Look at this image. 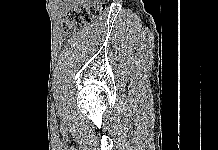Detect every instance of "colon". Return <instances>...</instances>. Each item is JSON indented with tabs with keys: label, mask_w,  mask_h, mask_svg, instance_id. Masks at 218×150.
Instances as JSON below:
<instances>
[{
	"label": "colon",
	"mask_w": 218,
	"mask_h": 150,
	"mask_svg": "<svg viewBox=\"0 0 218 150\" xmlns=\"http://www.w3.org/2000/svg\"><path fill=\"white\" fill-rule=\"evenodd\" d=\"M106 0H94L86 7L70 9L62 21V32L69 36L87 24L93 22L105 9Z\"/></svg>",
	"instance_id": "obj_1"
}]
</instances>
